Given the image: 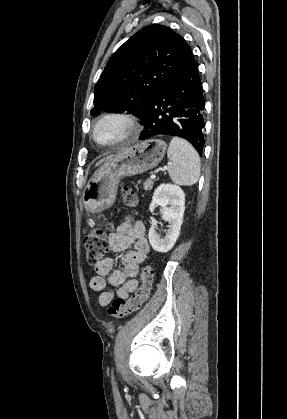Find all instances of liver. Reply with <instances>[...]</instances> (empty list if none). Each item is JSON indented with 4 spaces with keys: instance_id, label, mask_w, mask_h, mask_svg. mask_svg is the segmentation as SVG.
Segmentation results:
<instances>
[{
    "instance_id": "6515ba94",
    "label": "liver",
    "mask_w": 287,
    "mask_h": 419,
    "mask_svg": "<svg viewBox=\"0 0 287 419\" xmlns=\"http://www.w3.org/2000/svg\"><path fill=\"white\" fill-rule=\"evenodd\" d=\"M112 157V155L111 156H107V157H105V158H103V159H101L96 165H100L101 163H103V162H105V161H107L108 159H110Z\"/></svg>"
}]
</instances>
